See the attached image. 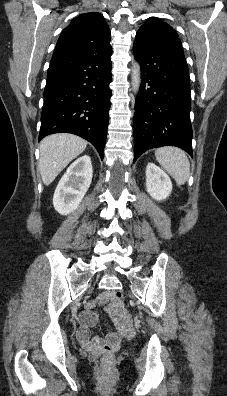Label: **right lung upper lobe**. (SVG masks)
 I'll use <instances>...</instances> for the list:
<instances>
[{"label": "right lung upper lobe", "instance_id": "1", "mask_svg": "<svg viewBox=\"0 0 227 396\" xmlns=\"http://www.w3.org/2000/svg\"><path fill=\"white\" fill-rule=\"evenodd\" d=\"M110 43V30L102 14L89 12L74 18L62 31L52 59L78 55Z\"/></svg>", "mask_w": 227, "mask_h": 396}]
</instances>
